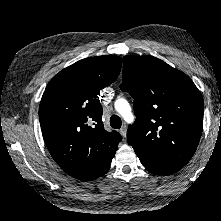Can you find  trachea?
<instances>
[{"label": "trachea", "instance_id": "obj_1", "mask_svg": "<svg viewBox=\"0 0 221 221\" xmlns=\"http://www.w3.org/2000/svg\"><path fill=\"white\" fill-rule=\"evenodd\" d=\"M110 125L114 129H119L122 125L121 118L118 115H112L110 118Z\"/></svg>", "mask_w": 221, "mask_h": 221}]
</instances>
